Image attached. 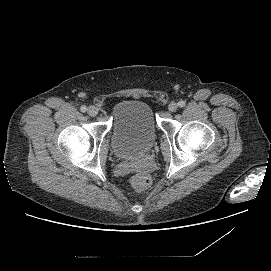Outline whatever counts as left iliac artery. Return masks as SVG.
I'll return each mask as SVG.
<instances>
[{
    "label": "left iliac artery",
    "instance_id": "1",
    "mask_svg": "<svg viewBox=\"0 0 271 271\" xmlns=\"http://www.w3.org/2000/svg\"><path fill=\"white\" fill-rule=\"evenodd\" d=\"M178 106H179V107H184V106H185V101H182V100L179 101V102H178Z\"/></svg>",
    "mask_w": 271,
    "mask_h": 271
}]
</instances>
